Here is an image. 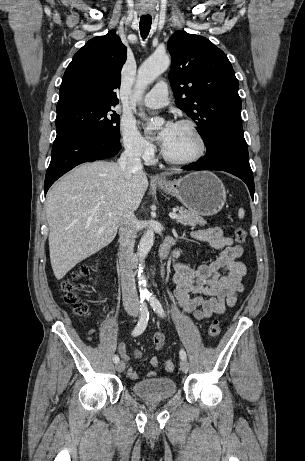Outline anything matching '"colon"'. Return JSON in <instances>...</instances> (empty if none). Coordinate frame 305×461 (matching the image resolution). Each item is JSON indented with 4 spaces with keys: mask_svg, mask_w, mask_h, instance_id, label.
I'll use <instances>...</instances> for the list:
<instances>
[{
    "mask_svg": "<svg viewBox=\"0 0 305 461\" xmlns=\"http://www.w3.org/2000/svg\"><path fill=\"white\" fill-rule=\"evenodd\" d=\"M234 238L237 244H243L247 238L246 231L242 227H237L234 231ZM93 267L94 265H83L70 279L64 281L61 285V289L64 292V303L80 317L87 315L88 305L80 298L79 292L82 286L77 283V280L89 276ZM208 334L212 338L220 334V324L217 320H214L210 324ZM163 366L167 372H173L175 369V364L172 360H165Z\"/></svg>",
    "mask_w": 305,
    "mask_h": 461,
    "instance_id": "obj_1",
    "label": "colon"
}]
</instances>
